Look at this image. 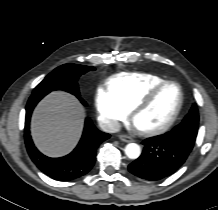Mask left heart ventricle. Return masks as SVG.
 I'll return each instance as SVG.
<instances>
[{
	"mask_svg": "<svg viewBox=\"0 0 218 210\" xmlns=\"http://www.w3.org/2000/svg\"><path fill=\"white\" fill-rule=\"evenodd\" d=\"M179 89L174 84L165 86L150 106L134 119L139 130H150L163 126L174 114L179 102Z\"/></svg>",
	"mask_w": 218,
	"mask_h": 210,
	"instance_id": "1",
	"label": "left heart ventricle"
}]
</instances>
